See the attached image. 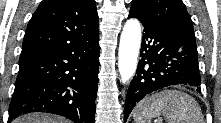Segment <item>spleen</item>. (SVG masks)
<instances>
[{
    "instance_id": "3e777b00",
    "label": "spleen",
    "mask_w": 221,
    "mask_h": 123,
    "mask_svg": "<svg viewBox=\"0 0 221 123\" xmlns=\"http://www.w3.org/2000/svg\"><path fill=\"white\" fill-rule=\"evenodd\" d=\"M163 115L167 123H204L197 101L179 90H164L141 100L133 111L135 123H151Z\"/></svg>"
}]
</instances>
